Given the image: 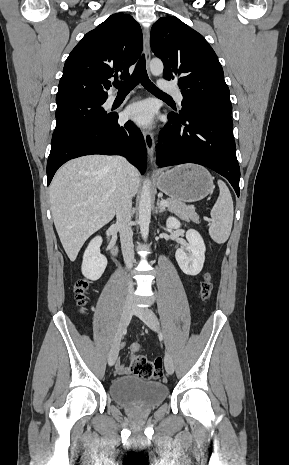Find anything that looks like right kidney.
<instances>
[{
	"label": "right kidney",
	"mask_w": 289,
	"mask_h": 465,
	"mask_svg": "<svg viewBox=\"0 0 289 465\" xmlns=\"http://www.w3.org/2000/svg\"><path fill=\"white\" fill-rule=\"evenodd\" d=\"M102 238L96 236L93 238L83 255L82 274L89 280H98L105 271L107 259L100 253Z\"/></svg>",
	"instance_id": "1"
}]
</instances>
